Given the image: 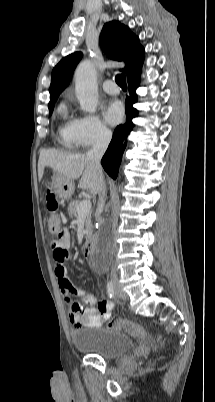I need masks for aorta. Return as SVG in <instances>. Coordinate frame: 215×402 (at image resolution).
I'll list each match as a JSON object with an SVG mask.
<instances>
[{
	"instance_id": "1",
	"label": "aorta",
	"mask_w": 215,
	"mask_h": 402,
	"mask_svg": "<svg viewBox=\"0 0 215 402\" xmlns=\"http://www.w3.org/2000/svg\"><path fill=\"white\" fill-rule=\"evenodd\" d=\"M75 93L83 111L95 113L98 104V85L95 65L89 61H82L76 68L75 74ZM105 231L103 232V234ZM109 256L108 245L100 241L95 258L107 259Z\"/></svg>"
}]
</instances>
